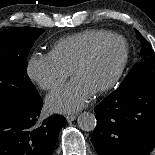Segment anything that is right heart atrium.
Returning <instances> with one entry per match:
<instances>
[{"mask_svg":"<svg viewBox=\"0 0 155 155\" xmlns=\"http://www.w3.org/2000/svg\"><path fill=\"white\" fill-rule=\"evenodd\" d=\"M27 73L30 79L41 89L51 91L60 87L69 76L50 54H34L31 56Z\"/></svg>","mask_w":155,"mask_h":155,"instance_id":"d8ad5b80","label":"right heart atrium"}]
</instances>
